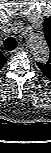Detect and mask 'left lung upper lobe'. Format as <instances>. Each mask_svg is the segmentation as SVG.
Segmentation results:
<instances>
[{"label":"left lung upper lobe","instance_id":"5c2ea615","mask_svg":"<svg viewBox=\"0 0 51 153\" xmlns=\"http://www.w3.org/2000/svg\"><path fill=\"white\" fill-rule=\"evenodd\" d=\"M43 28L46 40L49 44L50 57L47 62L44 63L37 62V65L41 70V72L44 74V76L51 79V16L45 19L43 23Z\"/></svg>","mask_w":51,"mask_h":153}]
</instances>
